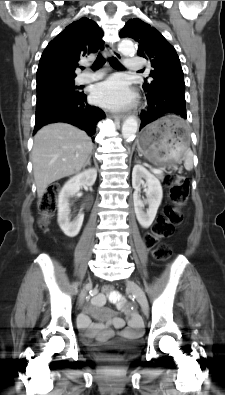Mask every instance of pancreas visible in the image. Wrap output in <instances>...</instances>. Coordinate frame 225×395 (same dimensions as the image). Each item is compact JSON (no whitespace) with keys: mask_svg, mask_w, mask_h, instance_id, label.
<instances>
[{"mask_svg":"<svg viewBox=\"0 0 225 395\" xmlns=\"http://www.w3.org/2000/svg\"><path fill=\"white\" fill-rule=\"evenodd\" d=\"M157 177H158L159 179H161V180H163V179H164V175H163V173H159V174H157Z\"/></svg>","mask_w":225,"mask_h":395,"instance_id":"obj_1","label":"pancreas"}]
</instances>
